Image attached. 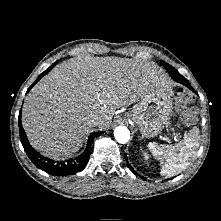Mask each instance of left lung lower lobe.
<instances>
[{
    "label": "left lung lower lobe",
    "instance_id": "obj_1",
    "mask_svg": "<svg viewBox=\"0 0 221 221\" xmlns=\"http://www.w3.org/2000/svg\"><path fill=\"white\" fill-rule=\"evenodd\" d=\"M173 79H174L176 82L185 85V86L188 87L190 90H192L193 92H195V90H194V89L192 88V86L190 85L189 81H188L185 77H183L182 75L177 76V77H174ZM195 93H196V92H195ZM125 159H126V161H127V165H128V167L130 168V170H131L135 175H138V173L135 172L134 169H133V168L131 167V165L129 164L126 155H125Z\"/></svg>",
    "mask_w": 221,
    "mask_h": 221
}]
</instances>
